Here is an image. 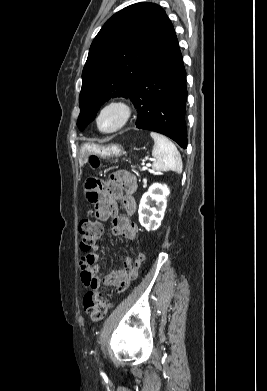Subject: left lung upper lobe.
Here are the masks:
<instances>
[{
  "mask_svg": "<svg viewBox=\"0 0 267 391\" xmlns=\"http://www.w3.org/2000/svg\"><path fill=\"white\" fill-rule=\"evenodd\" d=\"M176 37L165 11L136 3L110 17L94 38L82 72L80 130L113 97L131 96L149 66Z\"/></svg>",
  "mask_w": 267,
  "mask_h": 391,
  "instance_id": "1",
  "label": "left lung upper lobe"
}]
</instances>
